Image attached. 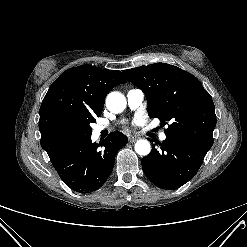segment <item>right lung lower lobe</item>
<instances>
[{
	"label": "right lung lower lobe",
	"mask_w": 247,
	"mask_h": 247,
	"mask_svg": "<svg viewBox=\"0 0 247 247\" xmlns=\"http://www.w3.org/2000/svg\"><path fill=\"white\" fill-rule=\"evenodd\" d=\"M127 142L121 132L111 133L99 144L91 142V135L84 136L65 143L49 158L67 186L80 193H89L106 182L113 170L116 153Z\"/></svg>",
	"instance_id": "obj_1"
}]
</instances>
